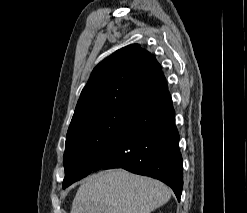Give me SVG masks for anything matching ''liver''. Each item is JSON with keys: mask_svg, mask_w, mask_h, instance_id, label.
Returning a JSON list of instances; mask_svg holds the SVG:
<instances>
[{"mask_svg": "<svg viewBox=\"0 0 247 213\" xmlns=\"http://www.w3.org/2000/svg\"><path fill=\"white\" fill-rule=\"evenodd\" d=\"M170 197L171 190L158 180L113 169L85 180L77 190L71 213H151Z\"/></svg>", "mask_w": 247, "mask_h": 213, "instance_id": "obj_1", "label": "liver"}]
</instances>
